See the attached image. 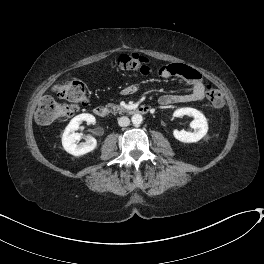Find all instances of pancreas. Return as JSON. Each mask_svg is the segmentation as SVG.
Instances as JSON below:
<instances>
[{
	"label": "pancreas",
	"mask_w": 264,
	"mask_h": 264,
	"mask_svg": "<svg viewBox=\"0 0 264 264\" xmlns=\"http://www.w3.org/2000/svg\"><path fill=\"white\" fill-rule=\"evenodd\" d=\"M109 107L113 110L114 113H122L124 112V108L119 105L110 104Z\"/></svg>",
	"instance_id": "cf45deb5"
}]
</instances>
